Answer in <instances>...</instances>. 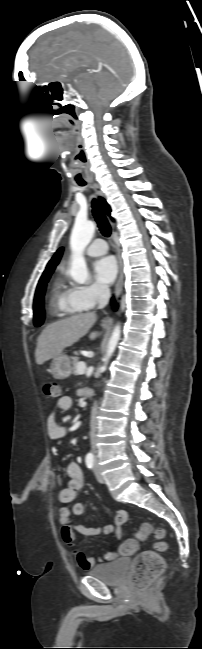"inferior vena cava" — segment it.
Instances as JSON below:
<instances>
[{"label": "inferior vena cava", "mask_w": 202, "mask_h": 649, "mask_svg": "<svg viewBox=\"0 0 202 649\" xmlns=\"http://www.w3.org/2000/svg\"><path fill=\"white\" fill-rule=\"evenodd\" d=\"M98 290V308L102 309L104 308L110 299V289L107 285H98L97 286ZM94 410H96V406L94 407ZM96 421L95 419L92 420L91 422V448L93 450V453H96Z\"/></svg>", "instance_id": "obj_1"}]
</instances>
